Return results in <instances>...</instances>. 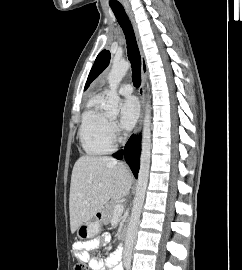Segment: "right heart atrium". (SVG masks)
I'll list each match as a JSON object with an SVG mask.
<instances>
[{
    "instance_id": "d8ad5b80",
    "label": "right heart atrium",
    "mask_w": 242,
    "mask_h": 270,
    "mask_svg": "<svg viewBox=\"0 0 242 270\" xmlns=\"http://www.w3.org/2000/svg\"><path fill=\"white\" fill-rule=\"evenodd\" d=\"M110 131L114 139L119 138L121 132L115 121L110 122Z\"/></svg>"
}]
</instances>
